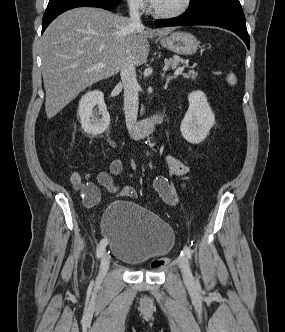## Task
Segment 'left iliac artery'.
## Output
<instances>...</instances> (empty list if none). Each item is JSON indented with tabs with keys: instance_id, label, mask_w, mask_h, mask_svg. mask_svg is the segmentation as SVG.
<instances>
[{
	"instance_id": "left-iliac-artery-1",
	"label": "left iliac artery",
	"mask_w": 285,
	"mask_h": 332,
	"mask_svg": "<svg viewBox=\"0 0 285 332\" xmlns=\"http://www.w3.org/2000/svg\"><path fill=\"white\" fill-rule=\"evenodd\" d=\"M187 256L188 259L192 258V250L190 247H188L187 245L184 246V250L181 254H183Z\"/></svg>"
}]
</instances>
